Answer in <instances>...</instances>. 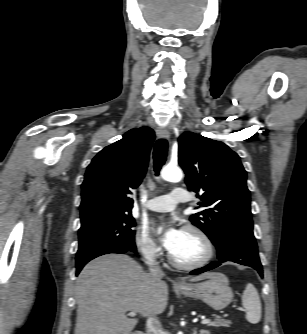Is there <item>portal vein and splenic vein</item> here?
<instances>
[{"mask_svg":"<svg viewBox=\"0 0 307 334\" xmlns=\"http://www.w3.org/2000/svg\"><path fill=\"white\" fill-rule=\"evenodd\" d=\"M129 315L133 317V316L136 315V312H130ZM201 323H202V324H208V323H211V319H203V320L201 321Z\"/></svg>","mask_w":307,"mask_h":334,"instance_id":"obj_1","label":"portal vein and splenic vein"}]
</instances>
